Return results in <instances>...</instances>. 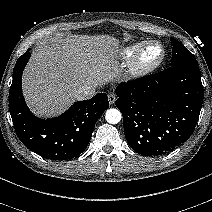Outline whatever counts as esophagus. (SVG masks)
I'll list each match as a JSON object with an SVG mask.
<instances>
[{
	"instance_id": "34e87169",
	"label": "esophagus",
	"mask_w": 212,
	"mask_h": 212,
	"mask_svg": "<svg viewBox=\"0 0 212 212\" xmlns=\"http://www.w3.org/2000/svg\"><path fill=\"white\" fill-rule=\"evenodd\" d=\"M108 101H109V103H110L111 105L114 104L115 101H116L115 95L112 94V93H109V94H108Z\"/></svg>"
}]
</instances>
